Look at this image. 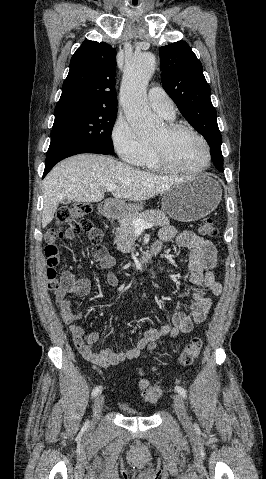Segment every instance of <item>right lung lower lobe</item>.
Listing matches in <instances>:
<instances>
[{"label":"right lung lower lobe","instance_id":"obj_1","mask_svg":"<svg viewBox=\"0 0 266 479\" xmlns=\"http://www.w3.org/2000/svg\"><path fill=\"white\" fill-rule=\"evenodd\" d=\"M80 153H98V154H109L108 152L89 146H81L67 142L55 141L51 142L47 157H46V166L43 173V178L46 174L53 168V166L59 161Z\"/></svg>","mask_w":266,"mask_h":479}]
</instances>
